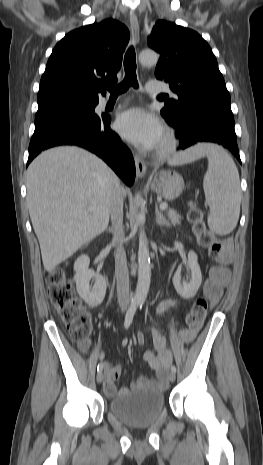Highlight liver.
I'll list each match as a JSON object with an SVG mask.
<instances>
[{
  "label": "liver",
  "mask_w": 263,
  "mask_h": 465,
  "mask_svg": "<svg viewBox=\"0 0 263 465\" xmlns=\"http://www.w3.org/2000/svg\"><path fill=\"white\" fill-rule=\"evenodd\" d=\"M26 187L43 265L51 271L107 228L111 201L121 186L97 156L62 146L31 162Z\"/></svg>",
  "instance_id": "liver-1"
}]
</instances>
